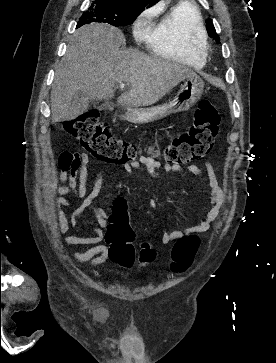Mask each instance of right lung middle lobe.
Instances as JSON below:
<instances>
[{
    "mask_svg": "<svg viewBox=\"0 0 276 363\" xmlns=\"http://www.w3.org/2000/svg\"><path fill=\"white\" fill-rule=\"evenodd\" d=\"M144 4H123L111 1L95 0L83 12L77 27L92 22L107 23L116 27L127 26L134 22L144 10Z\"/></svg>",
    "mask_w": 276,
    "mask_h": 363,
    "instance_id": "obj_1",
    "label": "right lung middle lobe"
}]
</instances>
